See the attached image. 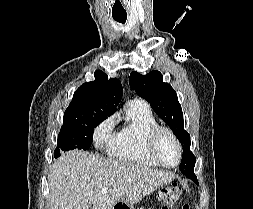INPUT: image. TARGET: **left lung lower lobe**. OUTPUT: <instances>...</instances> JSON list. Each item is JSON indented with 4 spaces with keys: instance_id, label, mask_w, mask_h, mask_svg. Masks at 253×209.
<instances>
[{
    "instance_id": "obj_1",
    "label": "left lung lower lobe",
    "mask_w": 253,
    "mask_h": 209,
    "mask_svg": "<svg viewBox=\"0 0 253 209\" xmlns=\"http://www.w3.org/2000/svg\"><path fill=\"white\" fill-rule=\"evenodd\" d=\"M191 180H193L196 184H198V180H197V177L195 175L191 177Z\"/></svg>"
}]
</instances>
